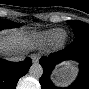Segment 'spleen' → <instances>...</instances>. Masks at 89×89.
<instances>
[{
	"mask_svg": "<svg viewBox=\"0 0 89 89\" xmlns=\"http://www.w3.org/2000/svg\"><path fill=\"white\" fill-rule=\"evenodd\" d=\"M78 68L73 64H66L54 72L56 82L61 86H68L75 80Z\"/></svg>",
	"mask_w": 89,
	"mask_h": 89,
	"instance_id": "spleen-1",
	"label": "spleen"
}]
</instances>
